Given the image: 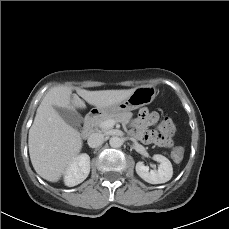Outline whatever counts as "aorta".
<instances>
[{"label": "aorta", "instance_id": "1", "mask_svg": "<svg viewBox=\"0 0 229 229\" xmlns=\"http://www.w3.org/2000/svg\"><path fill=\"white\" fill-rule=\"evenodd\" d=\"M109 144L113 148H119V147L122 146L123 141H122V139L120 137L113 136V137L110 138Z\"/></svg>", "mask_w": 229, "mask_h": 229}]
</instances>
